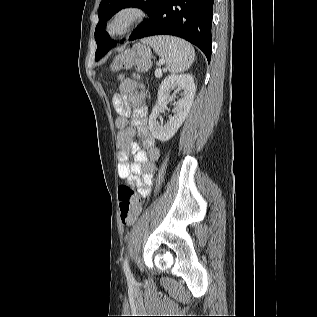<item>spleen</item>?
<instances>
[{"mask_svg":"<svg viewBox=\"0 0 317 317\" xmlns=\"http://www.w3.org/2000/svg\"><path fill=\"white\" fill-rule=\"evenodd\" d=\"M161 57L171 73L189 69L195 57L194 48L183 39L171 36L150 37L143 40Z\"/></svg>","mask_w":317,"mask_h":317,"instance_id":"1","label":"spleen"}]
</instances>
